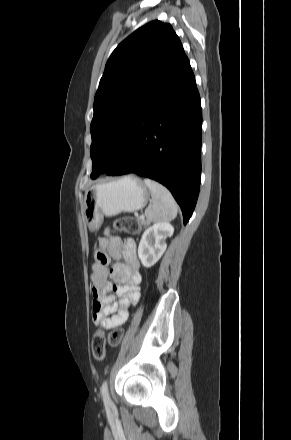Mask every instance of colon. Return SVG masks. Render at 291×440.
Here are the masks:
<instances>
[{
	"label": "colon",
	"instance_id": "5ec220e1",
	"mask_svg": "<svg viewBox=\"0 0 291 440\" xmlns=\"http://www.w3.org/2000/svg\"><path fill=\"white\" fill-rule=\"evenodd\" d=\"M117 231L138 235L141 233V226L137 220L132 217H121L114 222ZM123 337L120 330L113 331L109 336V342L112 345H118ZM92 353L97 360H103L106 356V337L102 332H97L91 340Z\"/></svg>",
	"mask_w": 291,
	"mask_h": 440
}]
</instances>
